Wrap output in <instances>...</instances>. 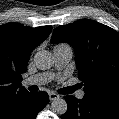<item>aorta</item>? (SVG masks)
I'll return each mask as SVG.
<instances>
[{
  "mask_svg": "<svg viewBox=\"0 0 119 119\" xmlns=\"http://www.w3.org/2000/svg\"><path fill=\"white\" fill-rule=\"evenodd\" d=\"M34 64L40 70L50 69L54 64V57L49 51H39L34 56ZM52 111L57 115H63L67 111V103L62 98H55L51 103Z\"/></svg>",
  "mask_w": 119,
  "mask_h": 119,
  "instance_id": "aorta-1",
  "label": "aorta"
}]
</instances>
